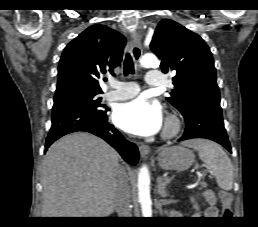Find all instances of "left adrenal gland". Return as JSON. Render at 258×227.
Listing matches in <instances>:
<instances>
[{
  "label": "left adrenal gland",
  "instance_id": "1",
  "mask_svg": "<svg viewBox=\"0 0 258 227\" xmlns=\"http://www.w3.org/2000/svg\"><path fill=\"white\" fill-rule=\"evenodd\" d=\"M172 179L173 177L171 178L167 177L163 179L161 176L157 178V192L162 198H166L168 196L166 192V187L171 182Z\"/></svg>",
  "mask_w": 258,
  "mask_h": 227
}]
</instances>
